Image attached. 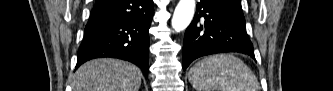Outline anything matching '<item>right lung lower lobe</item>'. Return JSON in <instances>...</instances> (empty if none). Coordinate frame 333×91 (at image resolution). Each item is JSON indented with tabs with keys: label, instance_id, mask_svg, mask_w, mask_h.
<instances>
[{
	"label": "right lung lower lobe",
	"instance_id": "obj_1",
	"mask_svg": "<svg viewBox=\"0 0 333 91\" xmlns=\"http://www.w3.org/2000/svg\"><path fill=\"white\" fill-rule=\"evenodd\" d=\"M152 0H98L85 27L76 69L99 57L127 60L148 77Z\"/></svg>",
	"mask_w": 333,
	"mask_h": 91
}]
</instances>
